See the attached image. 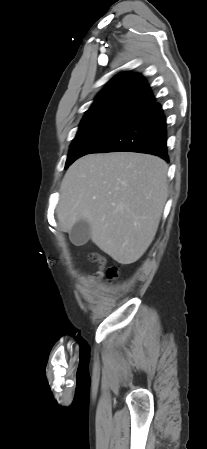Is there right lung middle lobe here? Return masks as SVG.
I'll list each match as a JSON object with an SVG mask.
<instances>
[{
  "mask_svg": "<svg viewBox=\"0 0 207 449\" xmlns=\"http://www.w3.org/2000/svg\"><path fill=\"white\" fill-rule=\"evenodd\" d=\"M135 114L117 110L84 116L77 135L70 145L65 169L79 157L91 153L108 137L128 123Z\"/></svg>",
  "mask_w": 207,
  "mask_h": 449,
  "instance_id": "obj_1",
  "label": "right lung middle lobe"
}]
</instances>
